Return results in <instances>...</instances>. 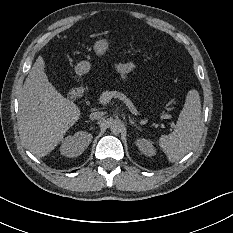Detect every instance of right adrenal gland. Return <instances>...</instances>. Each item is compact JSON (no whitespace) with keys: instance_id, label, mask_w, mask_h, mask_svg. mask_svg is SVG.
Here are the masks:
<instances>
[{"instance_id":"1","label":"right adrenal gland","mask_w":233,"mask_h":233,"mask_svg":"<svg viewBox=\"0 0 233 233\" xmlns=\"http://www.w3.org/2000/svg\"><path fill=\"white\" fill-rule=\"evenodd\" d=\"M86 123H91V121L90 120H87V121H85Z\"/></svg>"}]
</instances>
